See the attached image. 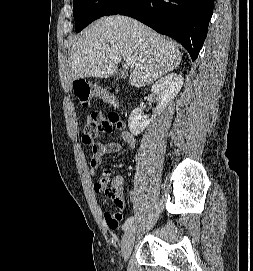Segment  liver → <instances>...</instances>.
<instances>
[{"label":"liver","instance_id":"liver-1","mask_svg":"<svg viewBox=\"0 0 253 271\" xmlns=\"http://www.w3.org/2000/svg\"><path fill=\"white\" fill-rule=\"evenodd\" d=\"M122 59L133 62L129 83L143 87L176 69L182 60L176 44L146 25L121 15L92 23L74 41L68 84L117 73Z\"/></svg>","mask_w":253,"mask_h":271}]
</instances>
